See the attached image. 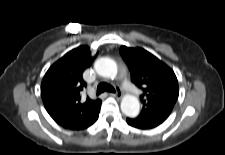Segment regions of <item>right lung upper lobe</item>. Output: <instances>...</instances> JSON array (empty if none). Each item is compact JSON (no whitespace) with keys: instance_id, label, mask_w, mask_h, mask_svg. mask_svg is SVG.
<instances>
[{"instance_id":"cb5924a9","label":"right lung upper lobe","mask_w":225,"mask_h":155,"mask_svg":"<svg viewBox=\"0 0 225 155\" xmlns=\"http://www.w3.org/2000/svg\"><path fill=\"white\" fill-rule=\"evenodd\" d=\"M95 57L87 46L73 49L55 62L42 80L44 106L53 120L66 129H85L98 118L101 100L81 99L86 87L82 75Z\"/></svg>"}]
</instances>
